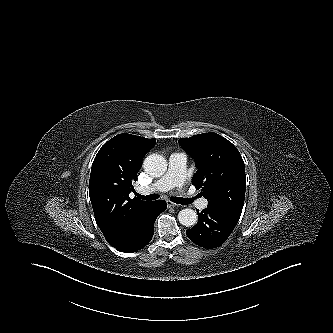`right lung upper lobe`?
Masks as SVG:
<instances>
[{
	"mask_svg": "<svg viewBox=\"0 0 333 333\" xmlns=\"http://www.w3.org/2000/svg\"><path fill=\"white\" fill-rule=\"evenodd\" d=\"M155 139L127 133L106 142L97 153L91 168L89 196L97 225L108 243L115 247L127 235L135 219L152 202L129 198L133 182L146 153Z\"/></svg>",
	"mask_w": 333,
	"mask_h": 333,
	"instance_id": "obj_1",
	"label": "right lung upper lobe"
}]
</instances>
